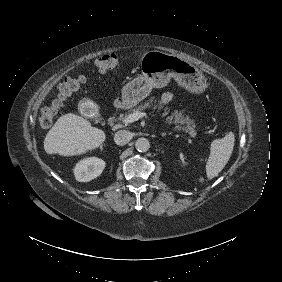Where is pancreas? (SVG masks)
<instances>
[{
	"instance_id": "obj_1",
	"label": "pancreas",
	"mask_w": 282,
	"mask_h": 282,
	"mask_svg": "<svg viewBox=\"0 0 282 282\" xmlns=\"http://www.w3.org/2000/svg\"><path fill=\"white\" fill-rule=\"evenodd\" d=\"M156 103V100H154V98H150L146 103L139 105L136 109H131L128 111V113L123 116L121 115L122 119H125L128 117V115L136 112V111H143L146 108H149L152 103ZM159 108H163V106L161 104H159L158 106ZM165 110H167V108H165ZM166 122L168 124H175V130H182L185 131L187 133H189L190 136L195 137L196 136V131L194 129L195 125H194V121L191 120L188 116H184L183 113L181 111L178 110H174V112L171 113L170 116H168L166 118ZM186 125V126H183Z\"/></svg>"
}]
</instances>
